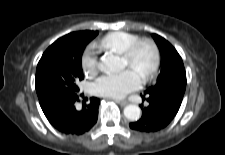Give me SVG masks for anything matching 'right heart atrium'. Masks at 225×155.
Segmentation results:
<instances>
[{"label": "right heart atrium", "mask_w": 225, "mask_h": 155, "mask_svg": "<svg viewBox=\"0 0 225 155\" xmlns=\"http://www.w3.org/2000/svg\"><path fill=\"white\" fill-rule=\"evenodd\" d=\"M82 69L86 75H93L98 69V59L93 47H88L82 56Z\"/></svg>", "instance_id": "1"}]
</instances>
